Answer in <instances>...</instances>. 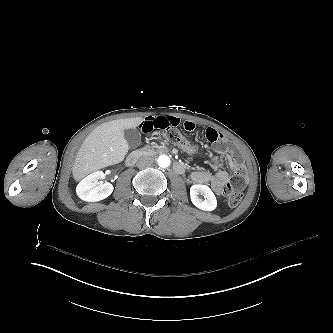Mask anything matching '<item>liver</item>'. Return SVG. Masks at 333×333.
<instances>
[{
	"label": "liver",
	"mask_w": 333,
	"mask_h": 333,
	"mask_svg": "<svg viewBox=\"0 0 333 333\" xmlns=\"http://www.w3.org/2000/svg\"><path fill=\"white\" fill-rule=\"evenodd\" d=\"M144 117L117 119L97 126L89 133L79 148L72 167L76 182L99 169L116 165L125 160L129 151L124 131L135 129Z\"/></svg>",
	"instance_id": "6515ba94"
}]
</instances>
